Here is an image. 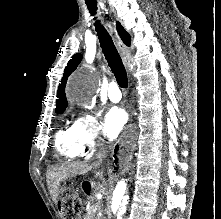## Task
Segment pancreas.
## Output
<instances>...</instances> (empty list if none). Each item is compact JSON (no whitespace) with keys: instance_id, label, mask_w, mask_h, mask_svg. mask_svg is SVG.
Segmentation results:
<instances>
[{"instance_id":"obj_1","label":"pancreas","mask_w":221,"mask_h":219,"mask_svg":"<svg viewBox=\"0 0 221 219\" xmlns=\"http://www.w3.org/2000/svg\"><path fill=\"white\" fill-rule=\"evenodd\" d=\"M97 208L95 206H91L90 208H88L84 219H98L96 218V213H97Z\"/></svg>"}]
</instances>
